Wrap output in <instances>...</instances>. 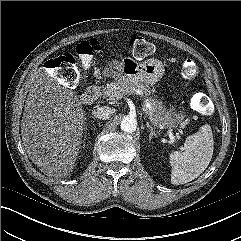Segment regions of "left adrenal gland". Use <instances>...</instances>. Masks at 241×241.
<instances>
[{"instance_id":"a2214340","label":"left adrenal gland","mask_w":241,"mask_h":241,"mask_svg":"<svg viewBox=\"0 0 241 241\" xmlns=\"http://www.w3.org/2000/svg\"><path fill=\"white\" fill-rule=\"evenodd\" d=\"M147 127L150 130V134H149V141H151L152 137L155 136L157 137V134L155 133V130L153 129V127L149 124V122H147Z\"/></svg>"}]
</instances>
